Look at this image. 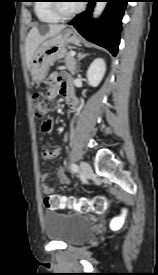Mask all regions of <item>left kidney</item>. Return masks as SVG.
I'll list each match as a JSON object with an SVG mask.
<instances>
[{
	"mask_svg": "<svg viewBox=\"0 0 158 275\" xmlns=\"http://www.w3.org/2000/svg\"><path fill=\"white\" fill-rule=\"evenodd\" d=\"M106 72V64L102 58L95 59L87 71V79L91 86L97 87Z\"/></svg>",
	"mask_w": 158,
	"mask_h": 275,
	"instance_id": "left-kidney-1",
	"label": "left kidney"
}]
</instances>
